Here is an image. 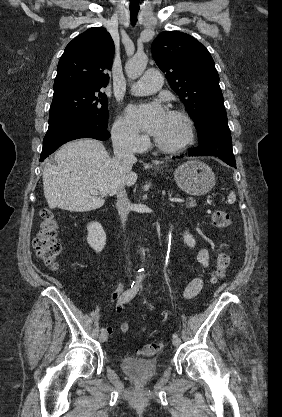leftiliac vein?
Segmentation results:
<instances>
[{
	"instance_id": "obj_1",
	"label": "left iliac vein",
	"mask_w": 282,
	"mask_h": 417,
	"mask_svg": "<svg viewBox=\"0 0 282 417\" xmlns=\"http://www.w3.org/2000/svg\"><path fill=\"white\" fill-rule=\"evenodd\" d=\"M172 343L177 347L181 344V339L179 337L173 338Z\"/></svg>"
}]
</instances>
